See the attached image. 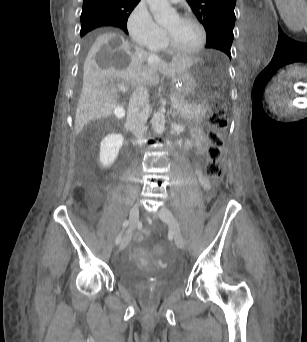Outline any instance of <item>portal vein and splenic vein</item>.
Instances as JSON below:
<instances>
[{
    "label": "portal vein and splenic vein",
    "mask_w": 307,
    "mask_h": 342,
    "mask_svg": "<svg viewBox=\"0 0 307 342\" xmlns=\"http://www.w3.org/2000/svg\"><path fill=\"white\" fill-rule=\"evenodd\" d=\"M116 86H117V88H121L120 90H121V92L122 93H127L128 92V87L127 86H123V84H116ZM122 86V87H121ZM180 106L178 105V106H176L174 109L176 110V111H178L180 108H179Z\"/></svg>",
    "instance_id": "18ae733b"
}]
</instances>
